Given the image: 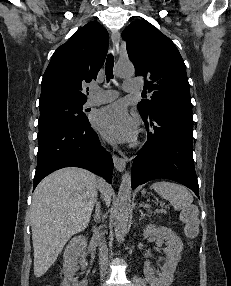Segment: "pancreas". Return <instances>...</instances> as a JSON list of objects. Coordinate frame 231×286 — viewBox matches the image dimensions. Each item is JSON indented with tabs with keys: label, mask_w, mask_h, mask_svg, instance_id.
I'll use <instances>...</instances> for the list:
<instances>
[{
	"label": "pancreas",
	"mask_w": 231,
	"mask_h": 286,
	"mask_svg": "<svg viewBox=\"0 0 231 286\" xmlns=\"http://www.w3.org/2000/svg\"><path fill=\"white\" fill-rule=\"evenodd\" d=\"M156 213H166V211L164 209H161V210H156Z\"/></svg>",
	"instance_id": "pancreas-1"
}]
</instances>
